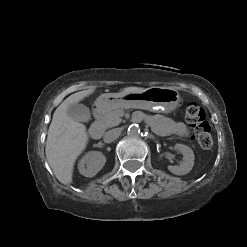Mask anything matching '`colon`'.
<instances>
[{
  "label": "colon",
  "mask_w": 247,
  "mask_h": 247,
  "mask_svg": "<svg viewBox=\"0 0 247 247\" xmlns=\"http://www.w3.org/2000/svg\"><path fill=\"white\" fill-rule=\"evenodd\" d=\"M185 118L193 128L195 139L200 147L203 149L211 148L213 145L211 127L206 120L204 109L196 103H188L185 107Z\"/></svg>",
  "instance_id": "5ec220e1"
}]
</instances>
